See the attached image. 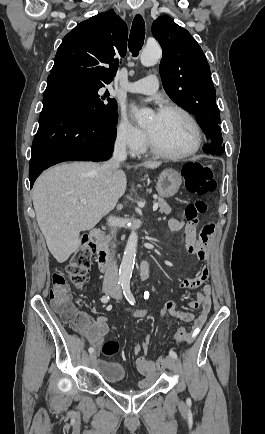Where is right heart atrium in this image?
<instances>
[{
    "instance_id": "1",
    "label": "right heart atrium",
    "mask_w": 265,
    "mask_h": 434,
    "mask_svg": "<svg viewBox=\"0 0 265 434\" xmlns=\"http://www.w3.org/2000/svg\"><path fill=\"white\" fill-rule=\"evenodd\" d=\"M118 112L117 121L114 125L117 139H113V148H123L124 154H140L145 151L147 138L142 132L139 125H134L125 113L127 112L126 104L120 101L117 104Z\"/></svg>"
}]
</instances>
